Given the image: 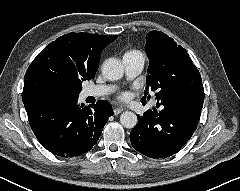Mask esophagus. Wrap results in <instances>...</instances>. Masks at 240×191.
Returning a JSON list of instances; mask_svg holds the SVG:
<instances>
[{"instance_id": "esophagus-1", "label": "esophagus", "mask_w": 240, "mask_h": 191, "mask_svg": "<svg viewBox=\"0 0 240 191\" xmlns=\"http://www.w3.org/2000/svg\"><path fill=\"white\" fill-rule=\"evenodd\" d=\"M113 112H114V115H118V114H120L121 112H123V108H121V107H116V108H114Z\"/></svg>"}]
</instances>
